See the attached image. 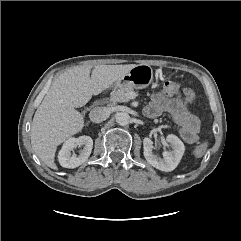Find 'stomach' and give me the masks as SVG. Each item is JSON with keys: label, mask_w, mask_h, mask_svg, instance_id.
<instances>
[{"label": "stomach", "mask_w": 241, "mask_h": 241, "mask_svg": "<svg viewBox=\"0 0 241 241\" xmlns=\"http://www.w3.org/2000/svg\"><path fill=\"white\" fill-rule=\"evenodd\" d=\"M153 81V70L150 65L139 64L134 66L127 74L118 79L115 87L132 86L136 89L148 87Z\"/></svg>", "instance_id": "1"}]
</instances>
